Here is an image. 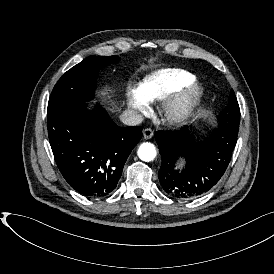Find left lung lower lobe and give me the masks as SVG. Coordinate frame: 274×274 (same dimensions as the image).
Wrapping results in <instances>:
<instances>
[{"label": "left lung lower lobe", "instance_id": "left-lung-lower-lobe-1", "mask_svg": "<svg viewBox=\"0 0 274 274\" xmlns=\"http://www.w3.org/2000/svg\"><path fill=\"white\" fill-rule=\"evenodd\" d=\"M239 128L220 123L219 130L203 142H195L189 126L181 131L159 130L155 133L162 157L158 172L164 191L175 198L190 199L208 192L225 173L237 142ZM186 167L175 169L179 157Z\"/></svg>", "mask_w": 274, "mask_h": 274}]
</instances>
